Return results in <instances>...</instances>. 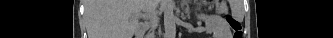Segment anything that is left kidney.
<instances>
[{
	"label": "left kidney",
	"instance_id": "left-kidney-1",
	"mask_svg": "<svg viewBox=\"0 0 333 38\" xmlns=\"http://www.w3.org/2000/svg\"><path fill=\"white\" fill-rule=\"evenodd\" d=\"M197 19L205 22L206 34H212L214 38H227L230 32L225 20L218 15H208L200 13L196 15Z\"/></svg>",
	"mask_w": 333,
	"mask_h": 38
}]
</instances>
